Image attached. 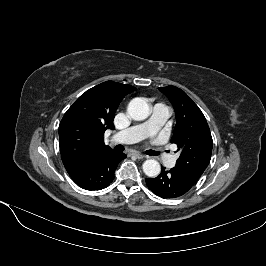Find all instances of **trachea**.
<instances>
[{"mask_svg":"<svg viewBox=\"0 0 266 266\" xmlns=\"http://www.w3.org/2000/svg\"><path fill=\"white\" fill-rule=\"evenodd\" d=\"M116 150H118V151H122L123 148H122L121 146H117V147H116Z\"/></svg>","mask_w":266,"mask_h":266,"instance_id":"3493384b","label":"trachea"}]
</instances>
